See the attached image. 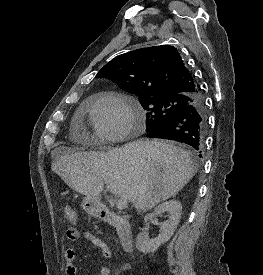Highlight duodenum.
Segmentation results:
<instances>
[{
    "mask_svg": "<svg viewBox=\"0 0 263 275\" xmlns=\"http://www.w3.org/2000/svg\"><path fill=\"white\" fill-rule=\"evenodd\" d=\"M100 218L102 221L115 227L121 247L124 251L131 252L133 250V232L129 221L107 208L100 210Z\"/></svg>",
    "mask_w": 263,
    "mask_h": 275,
    "instance_id": "1",
    "label": "duodenum"
}]
</instances>
